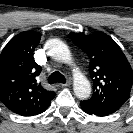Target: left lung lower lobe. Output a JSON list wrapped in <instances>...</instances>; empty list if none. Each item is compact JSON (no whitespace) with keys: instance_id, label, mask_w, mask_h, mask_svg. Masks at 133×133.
<instances>
[{"instance_id":"0a47b994","label":"left lung lower lobe","mask_w":133,"mask_h":133,"mask_svg":"<svg viewBox=\"0 0 133 133\" xmlns=\"http://www.w3.org/2000/svg\"><path fill=\"white\" fill-rule=\"evenodd\" d=\"M80 106L82 110L89 115H97V116L103 117L114 113L113 111H110L107 109H101L93 105H90L85 101H81Z\"/></svg>"}]
</instances>
